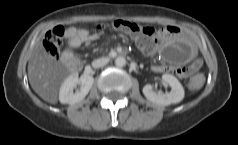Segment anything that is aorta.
<instances>
[{"label": "aorta", "mask_w": 238, "mask_h": 145, "mask_svg": "<svg viewBox=\"0 0 238 145\" xmlns=\"http://www.w3.org/2000/svg\"><path fill=\"white\" fill-rule=\"evenodd\" d=\"M115 65L117 67H124L126 65V60L124 57H117L115 59Z\"/></svg>", "instance_id": "obj_1"}]
</instances>
